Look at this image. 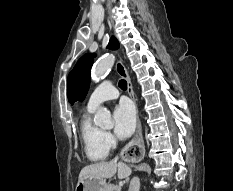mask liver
Wrapping results in <instances>:
<instances>
[{
  "label": "liver",
  "mask_w": 233,
  "mask_h": 191,
  "mask_svg": "<svg viewBox=\"0 0 233 191\" xmlns=\"http://www.w3.org/2000/svg\"><path fill=\"white\" fill-rule=\"evenodd\" d=\"M118 171V178L124 179L130 176L131 168L123 162L116 161L98 162L85 166L79 174V180L85 178L106 179L112 178Z\"/></svg>",
  "instance_id": "liver-1"
}]
</instances>
